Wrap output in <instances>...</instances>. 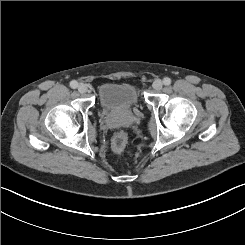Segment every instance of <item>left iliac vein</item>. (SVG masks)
<instances>
[{
  "label": "left iliac vein",
  "mask_w": 245,
  "mask_h": 245,
  "mask_svg": "<svg viewBox=\"0 0 245 245\" xmlns=\"http://www.w3.org/2000/svg\"><path fill=\"white\" fill-rule=\"evenodd\" d=\"M152 87L154 90H160L163 87V83L161 80L157 79L153 82Z\"/></svg>",
  "instance_id": "left-iliac-vein-1"
}]
</instances>
